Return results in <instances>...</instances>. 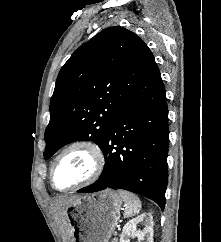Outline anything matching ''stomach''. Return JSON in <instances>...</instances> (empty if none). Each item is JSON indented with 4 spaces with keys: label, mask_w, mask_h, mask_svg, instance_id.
Masks as SVG:
<instances>
[{
    "label": "stomach",
    "mask_w": 221,
    "mask_h": 242,
    "mask_svg": "<svg viewBox=\"0 0 221 242\" xmlns=\"http://www.w3.org/2000/svg\"><path fill=\"white\" fill-rule=\"evenodd\" d=\"M122 200L112 190L76 198L67 208L70 242H109L120 219Z\"/></svg>",
    "instance_id": "stomach-1"
}]
</instances>
